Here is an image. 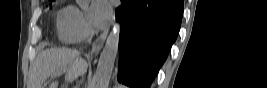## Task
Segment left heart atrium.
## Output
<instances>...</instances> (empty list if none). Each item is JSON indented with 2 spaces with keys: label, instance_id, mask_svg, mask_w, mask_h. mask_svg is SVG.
<instances>
[{
  "label": "left heart atrium",
  "instance_id": "obj_1",
  "mask_svg": "<svg viewBox=\"0 0 267 88\" xmlns=\"http://www.w3.org/2000/svg\"><path fill=\"white\" fill-rule=\"evenodd\" d=\"M111 15V7L106 0L93 1L87 12V18L91 25L101 27L106 24Z\"/></svg>",
  "mask_w": 267,
  "mask_h": 88
}]
</instances>
